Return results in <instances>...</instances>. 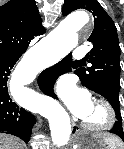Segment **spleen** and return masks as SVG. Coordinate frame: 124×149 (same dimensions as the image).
Masks as SVG:
<instances>
[{
	"mask_svg": "<svg viewBox=\"0 0 124 149\" xmlns=\"http://www.w3.org/2000/svg\"><path fill=\"white\" fill-rule=\"evenodd\" d=\"M113 139H114V141H109L107 139L108 149H116V147L119 145V141L114 137H113Z\"/></svg>",
	"mask_w": 124,
	"mask_h": 149,
	"instance_id": "obj_1",
	"label": "spleen"
}]
</instances>
